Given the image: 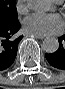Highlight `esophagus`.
Here are the masks:
<instances>
[{
	"label": "esophagus",
	"mask_w": 65,
	"mask_h": 89,
	"mask_svg": "<svg viewBox=\"0 0 65 89\" xmlns=\"http://www.w3.org/2000/svg\"><path fill=\"white\" fill-rule=\"evenodd\" d=\"M33 35L38 39H44L46 37L45 35H36V34Z\"/></svg>",
	"instance_id": "1"
}]
</instances>
